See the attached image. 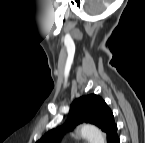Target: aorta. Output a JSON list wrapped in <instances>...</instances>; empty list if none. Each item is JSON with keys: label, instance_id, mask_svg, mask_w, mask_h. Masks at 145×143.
<instances>
[{"label": "aorta", "instance_id": "762f6f07", "mask_svg": "<svg viewBox=\"0 0 145 143\" xmlns=\"http://www.w3.org/2000/svg\"><path fill=\"white\" fill-rule=\"evenodd\" d=\"M79 134L90 143H105L106 139L100 129L93 125L84 124L79 129Z\"/></svg>", "mask_w": 145, "mask_h": 143}]
</instances>
